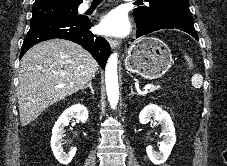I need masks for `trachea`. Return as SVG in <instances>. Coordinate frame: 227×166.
<instances>
[{
	"label": "trachea",
	"mask_w": 227,
	"mask_h": 166,
	"mask_svg": "<svg viewBox=\"0 0 227 166\" xmlns=\"http://www.w3.org/2000/svg\"><path fill=\"white\" fill-rule=\"evenodd\" d=\"M101 1H103V0H93V3H99Z\"/></svg>",
	"instance_id": "obj_1"
}]
</instances>
